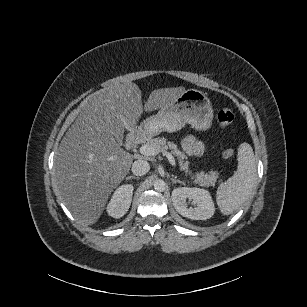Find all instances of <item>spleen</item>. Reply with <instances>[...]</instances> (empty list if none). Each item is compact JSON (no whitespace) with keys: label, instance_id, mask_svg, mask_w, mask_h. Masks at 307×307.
<instances>
[{"label":"spleen","instance_id":"obj_1","mask_svg":"<svg viewBox=\"0 0 307 307\" xmlns=\"http://www.w3.org/2000/svg\"><path fill=\"white\" fill-rule=\"evenodd\" d=\"M256 160L250 144L244 142L238 148L237 171L219 185L216 202L224 215H230L245 203L257 186Z\"/></svg>","mask_w":307,"mask_h":307}]
</instances>
